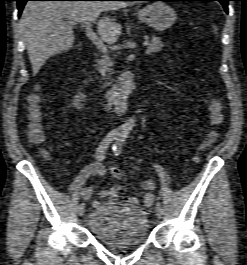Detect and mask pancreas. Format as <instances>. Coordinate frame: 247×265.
I'll use <instances>...</instances> for the list:
<instances>
[{"label":"pancreas","instance_id":"obj_1","mask_svg":"<svg viewBox=\"0 0 247 265\" xmlns=\"http://www.w3.org/2000/svg\"><path fill=\"white\" fill-rule=\"evenodd\" d=\"M163 47H164V44L162 42V39L160 37H153L152 43L147 46L146 53L148 55L157 53L161 51ZM97 63H98V70L102 76H106L107 72L109 74L113 73L111 69L112 61L110 60L108 56L104 55L101 60L97 61Z\"/></svg>","mask_w":247,"mask_h":265}]
</instances>
